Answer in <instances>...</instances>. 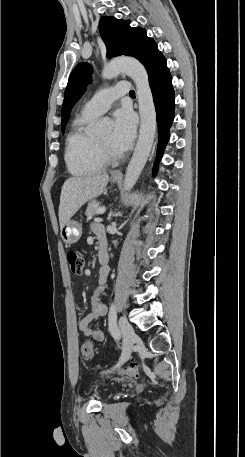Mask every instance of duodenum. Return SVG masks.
Here are the masks:
<instances>
[{
    "label": "duodenum",
    "instance_id": "410a0bca",
    "mask_svg": "<svg viewBox=\"0 0 245 457\" xmlns=\"http://www.w3.org/2000/svg\"><path fill=\"white\" fill-rule=\"evenodd\" d=\"M98 261L101 265H106L109 261V254L106 247H99Z\"/></svg>",
    "mask_w": 245,
    "mask_h": 457
}]
</instances>
